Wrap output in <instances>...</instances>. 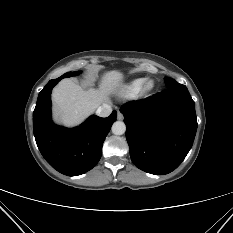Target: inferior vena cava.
Returning <instances> with one entry per match:
<instances>
[{
  "mask_svg": "<svg viewBox=\"0 0 233 233\" xmlns=\"http://www.w3.org/2000/svg\"><path fill=\"white\" fill-rule=\"evenodd\" d=\"M112 112V108L109 104L104 103L96 110V114L100 117H108Z\"/></svg>",
  "mask_w": 233,
  "mask_h": 233,
  "instance_id": "1",
  "label": "inferior vena cava"
}]
</instances>
